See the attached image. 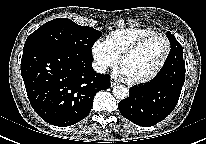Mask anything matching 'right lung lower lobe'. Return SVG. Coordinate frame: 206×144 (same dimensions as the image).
Listing matches in <instances>:
<instances>
[{
  "label": "right lung lower lobe",
  "mask_w": 206,
  "mask_h": 144,
  "mask_svg": "<svg viewBox=\"0 0 206 144\" xmlns=\"http://www.w3.org/2000/svg\"><path fill=\"white\" fill-rule=\"evenodd\" d=\"M92 61L62 48L23 50L21 75L29 101L43 120L65 127L88 116L95 94L110 87L109 75L96 73Z\"/></svg>",
  "instance_id": "1"
}]
</instances>
